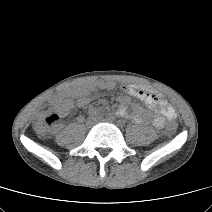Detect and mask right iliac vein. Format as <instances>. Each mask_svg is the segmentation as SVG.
Segmentation results:
<instances>
[{"label":"right iliac vein","instance_id":"1","mask_svg":"<svg viewBox=\"0 0 212 212\" xmlns=\"http://www.w3.org/2000/svg\"><path fill=\"white\" fill-rule=\"evenodd\" d=\"M93 125V120L92 119H89L88 122H87V126L88 127H91Z\"/></svg>","mask_w":212,"mask_h":212}]
</instances>
